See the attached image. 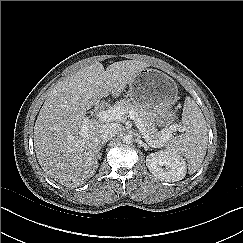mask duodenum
I'll return each instance as SVG.
<instances>
[{
  "label": "duodenum",
  "mask_w": 243,
  "mask_h": 243,
  "mask_svg": "<svg viewBox=\"0 0 243 243\" xmlns=\"http://www.w3.org/2000/svg\"><path fill=\"white\" fill-rule=\"evenodd\" d=\"M104 105V101L103 100H99V102H98V106L99 107H102Z\"/></svg>",
  "instance_id": "obj_1"
}]
</instances>
